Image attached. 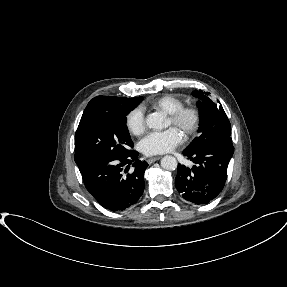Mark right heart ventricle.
I'll list each match as a JSON object with an SVG mask.
<instances>
[{"label":"right heart ventricle","mask_w":287,"mask_h":287,"mask_svg":"<svg viewBox=\"0 0 287 287\" xmlns=\"http://www.w3.org/2000/svg\"><path fill=\"white\" fill-rule=\"evenodd\" d=\"M184 105V101L172 94H165L151 99L145 103L142 108L149 107L155 110H161L167 114H170Z\"/></svg>","instance_id":"e07e8e85"}]
</instances>
